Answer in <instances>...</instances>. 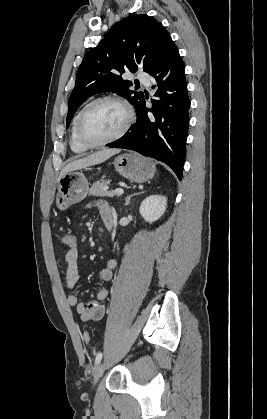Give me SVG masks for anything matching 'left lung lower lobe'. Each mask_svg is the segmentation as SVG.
<instances>
[{
	"mask_svg": "<svg viewBox=\"0 0 267 419\" xmlns=\"http://www.w3.org/2000/svg\"><path fill=\"white\" fill-rule=\"evenodd\" d=\"M158 87L152 108L145 98L136 105L137 121L111 148H125L166 163L181 180L186 154L190 99L184 62L172 39L160 61L148 72ZM155 88V85L153 86Z\"/></svg>",
	"mask_w": 267,
	"mask_h": 419,
	"instance_id": "obj_1",
	"label": "left lung lower lobe"
}]
</instances>
